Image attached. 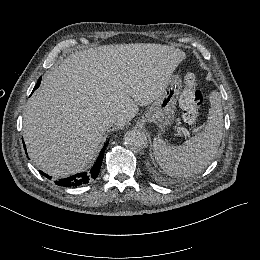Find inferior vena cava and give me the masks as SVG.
Wrapping results in <instances>:
<instances>
[{
  "label": "inferior vena cava",
  "mask_w": 260,
  "mask_h": 260,
  "mask_svg": "<svg viewBox=\"0 0 260 260\" xmlns=\"http://www.w3.org/2000/svg\"><path fill=\"white\" fill-rule=\"evenodd\" d=\"M116 122V118L112 116L109 120H107V126L110 127Z\"/></svg>",
  "instance_id": "602c4592"
}]
</instances>
